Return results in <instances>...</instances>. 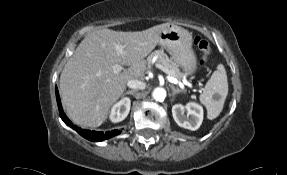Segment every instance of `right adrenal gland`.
I'll list each match as a JSON object with an SVG mask.
<instances>
[{
    "instance_id": "obj_1",
    "label": "right adrenal gland",
    "mask_w": 287,
    "mask_h": 175,
    "mask_svg": "<svg viewBox=\"0 0 287 175\" xmlns=\"http://www.w3.org/2000/svg\"><path fill=\"white\" fill-rule=\"evenodd\" d=\"M135 92H136V90H128L124 93V95H127V94L133 95Z\"/></svg>"
}]
</instances>
